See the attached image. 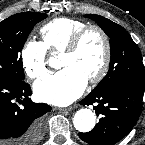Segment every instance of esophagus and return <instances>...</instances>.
I'll return each mask as SVG.
<instances>
[{
	"mask_svg": "<svg viewBox=\"0 0 145 145\" xmlns=\"http://www.w3.org/2000/svg\"><path fill=\"white\" fill-rule=\"evenodd\" d=\"M58 110L60 111H72L73 110V107H67V108H58Z\"/></svg>",
	"mask_w": 145,
	"mask_h": 145,
	"instance_id": "34e87169",
	"label": "esophagus"
}]
</instances>
